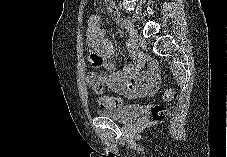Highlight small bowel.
<instances>
[{
	"instance_id": "1",
	"label": "small bowel",
	"mask_w": 227,
	"mask_h": 157,
	"mask_svg": "<svg viewBox=\"0 0 227 157\" xmlns=\"http://www.w3.org/2000/svg\"><path fill=\"white\" fill-rule=\"evenodd\" d=\"M87 43L92 65L108 71V75L98 73L103 81V90L107 87L114 93L134 97L151 94L156 89L159 81L156 68L149 64L147 70L143 71L144 60L131 43L127 44V52L132 63L121 71L116 70L112 61L115 56L114 46L105 37L100 19L95 15L91 16L88 22Z\"/></svg>"
}]
</instances>
